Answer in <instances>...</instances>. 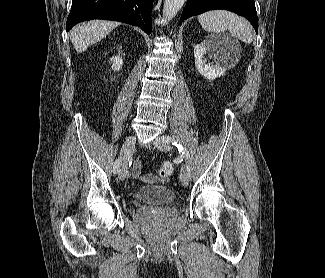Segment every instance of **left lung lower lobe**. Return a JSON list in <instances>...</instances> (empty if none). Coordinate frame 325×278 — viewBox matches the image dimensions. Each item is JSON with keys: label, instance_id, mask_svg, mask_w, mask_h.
<instances>
[{"label": "left lung lower lobe", "instance_id": "obj_1", "mask_svg": "<svg viewBox=\"0 0 325 278\" xmlns=\"http://www.w3.org/2000/svg\"><path fill=\"white\" fill-rule=\"evenodd\" d=\"M215 9H224L244 16L258 32V18L254 0H187L180 24L187 18Z\"/></svg>", "mask_w": 325, "mask_h": 278}]
</instances>
